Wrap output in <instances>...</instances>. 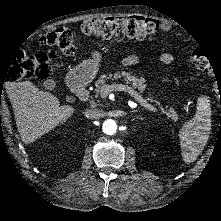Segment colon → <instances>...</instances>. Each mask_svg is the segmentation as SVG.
Here are the masks:
<instances>
[{
    "instance_id": "colon-1",
    "label": "colon",
    "mask_w": 221,
    "mask_h": 221,
    "mask_svg": "<svg viewBox=\"0 0 221 221\" xmlns=\"http://www.w3.org/2000/svg\"><path fill=\"white\" fill-rule=\"evenodd\" d=\"M84 35L94 39L120 38L124 35L139 38L146 33L155 31V24L141 15L106 16L84 19L80 23ZM76 38L66 28L46 30L40 38V44L48 51L38 52L30 56L19 55L9 70V80L15 84L37 76L48 77L51 74V61L56 53H70L74 48ZM189 61L202 72L212 68L210 60L200 53H193Z\"/></svg>"
}]
</instances>
